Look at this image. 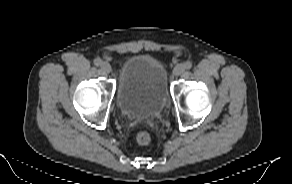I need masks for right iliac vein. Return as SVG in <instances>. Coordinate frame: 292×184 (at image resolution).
Wrapping results in <instances>:
<instances>
[{"label": "right iliac vein", "mask_w": 292, "mask_h": 184, "mask_svg": "<svg viewBox=\"0 0 292 184\" xmlns=\"http://www.w3.org/2000/svg\"><path fill=\"white\" fill-rule=\"evenodd\" d=\"M101 69L104 71V72H106V73H109V72H111V65L108 63V62H103L102 64H101Z\"/></svg>", "instance_id": "1"}]
</instances>
